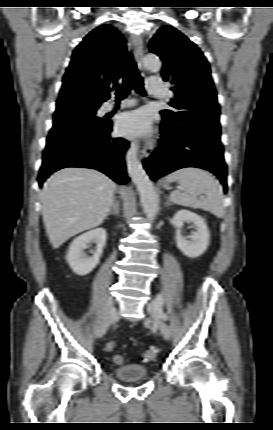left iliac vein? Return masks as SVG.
I'll use <instances>...</instances> for the list:
<instances>
[{"mask_svg":"<svg viewBox=\"0 0 273 430\" xmlns=\"http://www.w3.org/2000/svg\"><path fill=\"white\" fill-rule=\"evenodd\" d=\"M147 312L150 315L152 324L160 330L161 335L164 339H170V330L167 324L162 320L160 316V308L157 306L155 300L147 304Z\"/></svg>","mask_w":273,"mask_h":430,"instance_id":"4c4485c4","label":"left iliac vein"}]
</instances>
